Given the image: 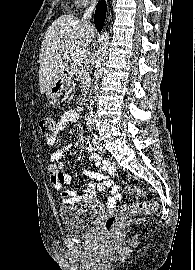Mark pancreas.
I'll use <instances>...</instances> for the list:
<instances>
[{
    "label": "pancreas",
    "instance_id": "1",
    "mask_svg": "<svg viewBox=\"0 0 195 270\" xmlns=\"http://www.w3.org/2000/svg\"><path fill=\"white\" fill-rule=\"evenodd\" d=\"M88 61H77L74 56L70 59V74L80 80L81 87L84 88L90 80Z\"/></svg>",
    "mask_w": 195,
    "mask_h": 270
}]
</instances>
